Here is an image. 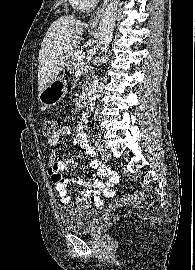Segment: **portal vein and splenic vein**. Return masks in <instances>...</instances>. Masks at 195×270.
Wrapping results in <instances>:
<instances>
[{"instance_id":"18ae733b","label":"portal vein and splenic vein","mask_w":195,"mask_h":270,"mask_svg":"<svg viewBox=\"0 0 195 270\" xmlns=\"http://www.w3.org/2000/svg\"><path fill=\"white\" fill-rule=\"evenodd\" d=\"M74 58L78 62H82L85 59V54L81 51H77L74 54Z\"/></svg>"}]
</instances>
